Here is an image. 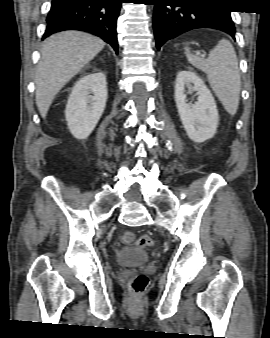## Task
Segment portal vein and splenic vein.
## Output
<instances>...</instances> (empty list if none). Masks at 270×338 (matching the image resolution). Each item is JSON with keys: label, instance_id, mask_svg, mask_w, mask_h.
<instances>
[{"label": "portal vein and splenic vein", "instance_id": "1", "mask_svg": "<svg viewBox=\"0 0 270 338\" xmlns=\"http://www.w3.org/2000/svg\"><path fill=\"white\" fill-rule=\"evenodd\" d=\"M201 57H202V58H204V57H205V55H204V54H202V55H201Z\"/></svg>", "mask_w": 270, "mask_h": 338}]
</instances>
